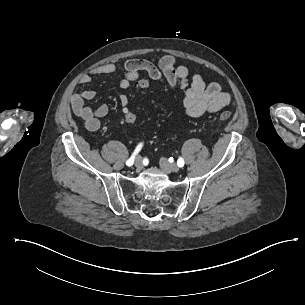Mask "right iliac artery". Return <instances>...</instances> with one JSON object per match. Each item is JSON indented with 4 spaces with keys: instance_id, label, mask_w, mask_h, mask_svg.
I'll return each mask as SVG.
<instances>
[{
    "instance_id": "obj_1",
    "label": "right iliac artery",
    "mask_w": 305,
    "mask_h": 305,
    "mask_svg": "<svg viewBox=\"0 0 305 305\" xmlns=\"http://www.w3.org/2000/svg\"><path fill=\"white\" fill-rule=\"evenodd\" d=\"M141 147H142V144H139V145L137 146V148L135 149V152H134V153L132 154V156L127 160V162H126V165H127V166H131V165L134 163L135 155L140 151Z\"/></svg>"
}]
</instances>
